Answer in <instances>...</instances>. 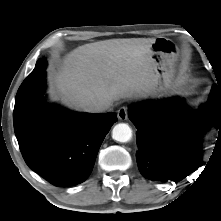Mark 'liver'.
Listing matches in <instances>:
<instances>
[{
  "instance_id": "6515ba94",
  "label": "liver",
  "mask_w": 221,
  "mask_h": 221,
  "mask_svg": "<svg viewBox=\"0 0 221 221\" xmlns=\"http://www.w3.org/2000/svg\"><path fill=\"white\" fill-rule=\"evenodd\" d=\"M154 38L110 39L69 52L54 76L53 93L84 110L93 102L153 94L156 84L150 48Z\"/></svg>"
}]
</instances>
